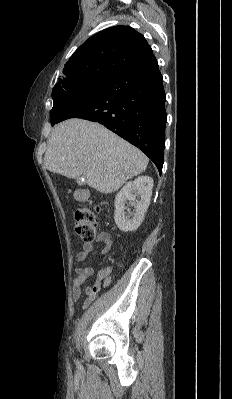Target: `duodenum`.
<instances>
[{
	"label": "duodenum",
	"mask_w": 232,
	"mask_h": 399,
	"mask_svg": "<svg viewBox=\"0 0 232 399\" xmlns=\"http://www.w3.org/2000/svg\"><path fill=\"white\" fill-rule=\"evenodd\" d=\"M86 197H87V194H86V193H84V194H83V198H86Z\"/></svg>",
	"instance_id": "1"
}]
</instances>
